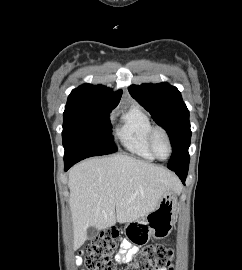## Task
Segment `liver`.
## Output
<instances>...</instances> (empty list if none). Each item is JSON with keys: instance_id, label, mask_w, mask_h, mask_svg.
Wrapping results in <instances>:
<instances>
[{"instance_id": "6515ba94", "label": "liver", "mask_w": 242, "mask_h": 270, "mask_svg": "<svg viewBox=\"0 0 242 270\" xmlns=\"http://www.w3.org/2000/svg\"><path fill=\"white\" fill-rule=\"evenodd\" d=\"M74 245L87 229L129 223L153 211L168 191H178L177 177L163 167L127 155L84 160L69 171Z\"/></svg>"}]
</instances>
